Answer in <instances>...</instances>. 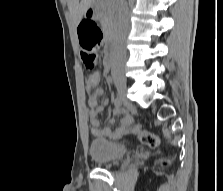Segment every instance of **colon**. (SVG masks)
I'll return each mask as SVG.
<instances>
[{
  "mask_svg": "<svg viewBox=\"0 0 223 191\" xmlns=\"http://www.w3.org/2000/svg\"><path fill=\"white\" fill-rule=\"evenodd\" d=\"M79 35L82 46V62L87 69H93L97 63V49L102 40V32L98 28H88L84 25L80 29ZM98 81V73L92 72L88 78L89 84L96 85ZM133 133L148 147L155 148L159 145L158 137L145 131L140 125L134 126Z\"/></svg>",
  "mask_w": 223,
  "mask_h": 191,
  "instance_id": "1",
  "label": "colon"
}]
</instances>
